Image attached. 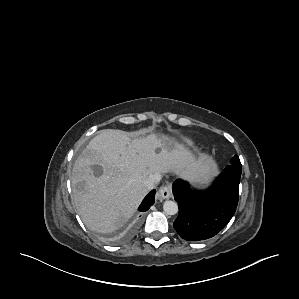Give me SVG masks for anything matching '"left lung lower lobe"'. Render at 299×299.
I'll list each match as a JSON object with an SVG mask.
<instances>
[{"label":"left lung lower lobe","instance_id":"0a47b994","mask_svg":"<svg viewBox=\"0 0 299 299\" xmlns=\"http://www.w3.org/2000/svg\"><path fill=\"white\" fill-rule=\"evenodd\" d=\"M241 175L224 171L206 191L191 189L178 179L173 185L179 216L173 223L177 233L188 241L209 239L219 233L236 211Z\"/></svg>","mask_w":299,"mask_h":299}]
</instances>
